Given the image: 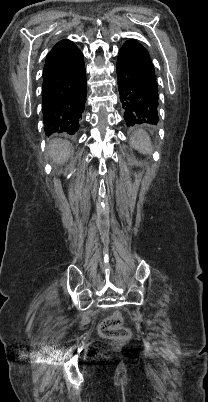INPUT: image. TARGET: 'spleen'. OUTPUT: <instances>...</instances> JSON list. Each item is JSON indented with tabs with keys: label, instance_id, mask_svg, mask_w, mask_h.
Returning a JSON list of instances; mask_svg holds the SVG:
<instances>
[{
	"label": "spleen",
	"instance_id": "obj_1",
	"mask_svg": "<svg viewBox=\"0 0 208 402\" xmlns=\"http://www.w3.org/2000/svg\"><path fill=\"white\" fill-rule=\"evenodd\" d=\"M131 146L135 150H138L140 154H151L152 152V142H150V138L145 130H137L135 132L131 138Z\"/></svg>",
	"mask_w": 208,
	"mask_h": 402
}]
</instances>
